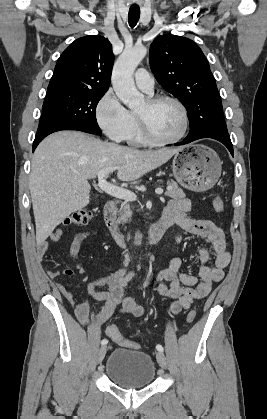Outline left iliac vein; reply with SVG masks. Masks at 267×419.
I'll return each mask as SVG.
<instances>
[{"label": "left iliac vein", "mask_w": 267, "mask_h": 419, "mask_svg": "<svg viewBox=\"0 0 267 419\" xmlns=\"http://www.w3.org/2000/svg\"><path fill=\"white\" fill-rule=\"evenodd\" d=\"M156 357H157V361L159 363V365L163 368L166 369L167 368V359L165 357V355L162 352H157L156 353Z\"/></svg>", "instance_id": "obj_1"}]
</instances>
